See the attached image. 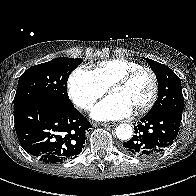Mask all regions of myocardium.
<instances>
[{
  "label": "myocardium",
  "instance_id": "myocardium-1",
  "mask_svg": "<svg viewBox=\"0 0 196 196\" xmlns=\"http://www.w3.org/2000/svg\"><path fill=\"white\" fill-rule=\"evenodd\" d=\"M142 72H147L151 76L153 86H152L151 95L149 99L147 100V102L134 110V112L137 114L145 113L148 110H150L158 98L159 79H158L156 72L153 69H151L150 67H145V66L138 67L122 75L121 77L116 79L114 82H112L111 85L108 87L109 93L111 92V90L115 88L124 87Z\"/></svg>",
  "mask_w": 196,
  "mask_h": 196
}]
</instances>
